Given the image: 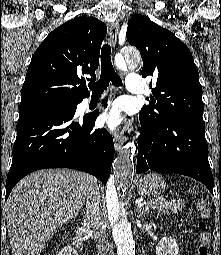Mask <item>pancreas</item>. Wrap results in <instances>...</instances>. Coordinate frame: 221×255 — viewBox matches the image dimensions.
Returning <instances> with one entry per match:
<instances>
[{"label":"pancreas","mask_w":221,"mask_h":255,"mask_svg":"<svg viewBox=\"0 0 221 255\" xmlns=\"http://www.w3.org/2000/svg\"><path fill=\"white\" fill-rule=\"evenodd\" d=\"M148 204L151 206L153 210H157L158 212H163L165 214L169 213V211L173 213H177L182 210L183 203L182 202H174V201H166L164 198H156L148 201Z\"/></svg>","instance_id":"cf45deb5"}]
</instances>
